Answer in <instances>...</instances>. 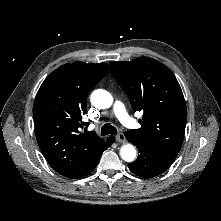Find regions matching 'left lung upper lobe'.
Returning <instances> with one entry per match:
<instances>
[{"label":"left lung upper lobe","instance_id":"left-lung-upper-lobe-1","mask_svg":"<svg viewBox=\"0 0 221 221\" xmlns=\"http://www.w3.org/2000/svg\"><path fill=\"white\" fill-rule=\"evenodd\" d=\"M109 66L128 95L132 109L143 112L141 128L127 133L143 145L176 155L183 142L187 108L171 70L149 57L111 61Z\"/></svg>","mask_w":221,"mask_h":221}]
</instances>
